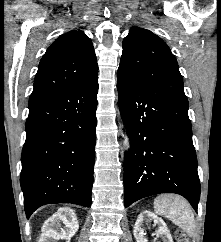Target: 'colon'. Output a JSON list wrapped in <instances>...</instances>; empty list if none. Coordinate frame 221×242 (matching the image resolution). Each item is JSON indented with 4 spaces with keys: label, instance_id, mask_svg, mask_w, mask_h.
I'll use <instances>...</instances> for the list:
<instances>
[{
    "label": "colon",
    "instance_id": "5ec220e1",
    "mask_svg": "<svg viewBox=\"0 0 221 242\" xmlns=\"http://www.w3.org/2000/svg\"><path fill=\"white\" fill-rule=\"evenodd\" d=\"M176 240L177 242H188L187 237L185 236V234L181 231H178L176 233Z\"/></svg>",
    "mask_w": 221,
    "mask_h": 242
}]
</instances>
